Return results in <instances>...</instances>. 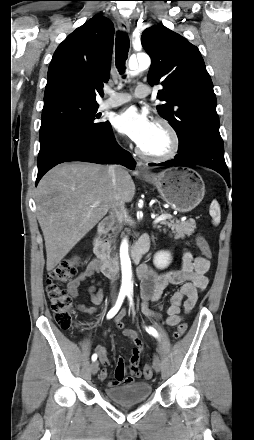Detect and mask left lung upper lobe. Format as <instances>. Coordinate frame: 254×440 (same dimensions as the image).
<instances>
[{
  "mask_svg": "<svg viewBox=\"0 0 254 440\" xmlns=\"http://www.w3.org/2000/svg\"><path fill=\"white\" fill-rule=\"evenodd\" d=\"M141 42L152 60L148 82L163 86L157 98L166 103L158 113L176 131L179 150L198 134H220L216 96L199 49L163 25L145 29Z\"/></svg>",
  "mask_w": 254,
  "mask_h": 440,
  "instance_id": "obj_1",
  "label": "left lung upper lobe"
}]
</instances>
